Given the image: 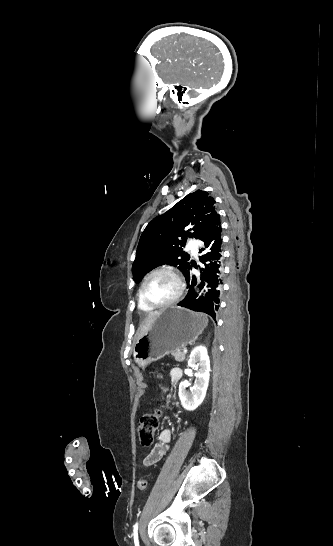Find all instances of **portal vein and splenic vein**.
I'll use <instances>...</instances> for the list:
<instances>
[{"instance_id":"obj_1","label":"portal vein and splenic vein","mask_w":333,"mask_h":546,"mask_svg":"<svg viewBox=\"0 0 333 546\" xmlns=\"http://www.w3.org/2000/svg\"><path fill=\"white\" fill-rule=\"evenodd\" d=\"M183 353H187V349H183Z\"/></svg>"}]
</instances>
